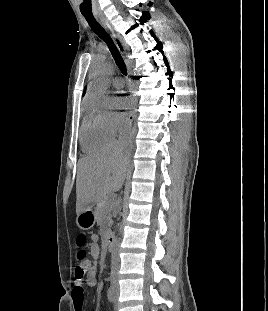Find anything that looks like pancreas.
I'll return each instance as SVG.
<instances>
[{"label": "pancreas", "instance_id": "1", "mask_svg": "<svg viewBox=\"0 0 268 311\" xmlns=\"http://www.w3.org/2000/svg\"><path fill=\"white\" fill-rule=\"evenodd\" d=\"M114 208V201L102 199L97 203L95 217L97 224L103 227V234H106L111 226V212Z\"/></svg>", "mask_w": 268, "mask_h": 311}]
</instances>
